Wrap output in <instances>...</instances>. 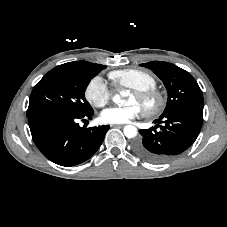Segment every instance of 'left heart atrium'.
<instances>
[{"label":"left heart atrium","mask_w":227,"mask_h":227,"mask_svg":"<svg viewBox=\"0 0 227 227\" xmlns=\"http://www.w3.org/2000/svg\"><path fill=\"white\" fill-rule=\"evenodd\" d=\"M141 113L137 104H130L125 107H110L102 111L101 120L107 124H123L136 118Z\"/></svg>","instance_id":"obj_1"}]
</instances>
